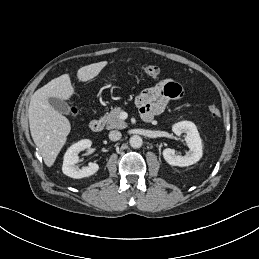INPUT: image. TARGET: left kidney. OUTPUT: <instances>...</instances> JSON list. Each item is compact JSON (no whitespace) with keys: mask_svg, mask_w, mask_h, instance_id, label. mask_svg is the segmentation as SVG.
<instances>
[{"mask_svg":"<svg viewBox=\"0 0 259 259\" xmlns=\"http://www.w3.org/2000/svg\"><path fill=\"white\" fill-rule=\"evenodd\" d=\"M172 131L180 136L185 133V141L189 147V152L184 155H176L175 150L166 148L163 150V157L165 161L172 166L185 167L198 162L203 154L202 140L198 133L196 125L191 121H181L175 123Z\"/></svg>","mask_w":259,"mask_h":259,"instance_id":"obj_1","label":"left kidney"}]
</instances>
